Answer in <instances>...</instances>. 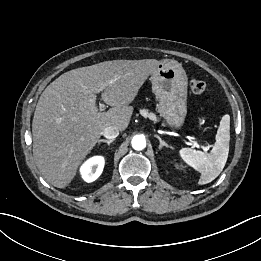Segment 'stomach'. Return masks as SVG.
Masks as SVG:
<instances>
[{"label": "stomach", "instance_id": "obj_1", "mask_svg": "<svg viewBox=\"0 0 261 261\" xmlns=\"http://www.w3.org/2000/svg\"><path fill=\"white\" fill-rule=\"evenodd\" d=\"M150 80L159 101L157 112L170 127L180 129L187 114L188 86L182 65L174 60H162Z\"/></svg>", "mask_w": 261, "mask_h": 261}]
</instances>
